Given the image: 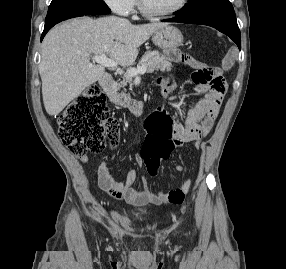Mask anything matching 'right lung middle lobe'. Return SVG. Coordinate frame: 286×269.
<instances>
[{
    "label": "right lung middle lobe",
    "instance_id": "obj_1",
    "mask_svg": "<svg viewBox=\"0 0 286 269\" xmlns=\"http://www.w3.org/2000/svg\"><path fill=\"white\" fill-rule=\"evenodd\" d=\"M110 12L103 0H52L45 19V26L78 16Z\"/></svg>",
    "mask_w": 286,
    "mask_h": 269
}]
</instances>
